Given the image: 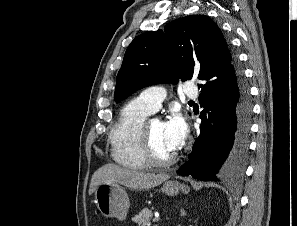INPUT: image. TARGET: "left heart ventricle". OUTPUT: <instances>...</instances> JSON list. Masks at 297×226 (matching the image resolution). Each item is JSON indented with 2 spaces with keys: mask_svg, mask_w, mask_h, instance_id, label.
<instances>
[{
  "mask_svg": "<svg viewBox=\"0 0 297 226\" xmlns=\"http://www.w3.org/2000/svg\"><path fill=\"white\" fill-rule=\"evenodd\" d=\"M151 143L155 153L161 158H167L174 154L169 149L164 138V125L158 120L151 121L149 125Z\"/></svg>",
  "mask_w": 297,
  "mask_h": 226,
  "instance_id": "1",
  "label": "left heart ventricle"
}]
</instances>
